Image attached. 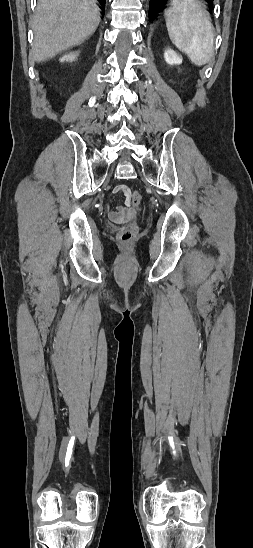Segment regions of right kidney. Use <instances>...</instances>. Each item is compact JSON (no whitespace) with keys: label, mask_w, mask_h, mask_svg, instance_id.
I'll return each instance as SVG.
<instances>
[{"label":"right kidney","mask_w":253,"mask_h":548,"mask_svg":"<svg viewBox=\"0 0 253 548\" xmlns=\"http://www.w3.org/2000/svg\"><path fill=\"white\" fill-rule=\"evenodd\" d=\"M76 57H77V53H75V52H70V53H68V54L63 55V56L60 58V62H64V61H73Z\"/></svg>","instance_id":"obj_1"}]
</instances>
